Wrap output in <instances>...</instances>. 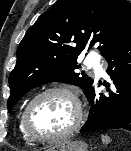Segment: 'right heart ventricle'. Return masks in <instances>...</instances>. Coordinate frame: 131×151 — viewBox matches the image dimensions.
I'll return each instance as SVG.
<instances>
[{"label":"right heart ventricle","mask_w":131,"mask_h":151,"mask_svg":"<svg viewBox=\"0 0 131 151\" xmlns=\"http://www.w3.org/2000/svg\"><path fill=\"white\" fill-rule=\"evenodd\" d=\"M19 131H20V134H21V137L23 138L24 141L26 142H31L30 139L27 138V136L25 135V133L23 132V129H22V124H21V118L19 120Z\"/></svg>","instance_id":"obj_1"}]
</instances>
